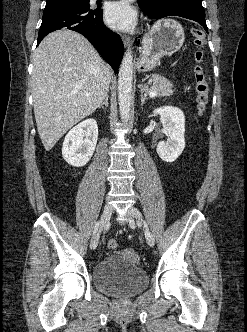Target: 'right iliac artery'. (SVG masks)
Instances as JSON below:
<instances>
[{
	"mask_svg": "<svg viewBox=\"0 0 247 332\" xmlns=\"http://www.w3.org/2000/svg\"><path fill=\"white\" fill-rule=\"evenodd\" d=\"M99 225H100V223L97 222L96 225H95V228H94L93 234H96V232L98 231Z\"/></svg>",
	"mask_w": 247,
	"mask_h": 332,
	"instance_id": "1",
	"label": "right iliac artery"
}]
</instances>
